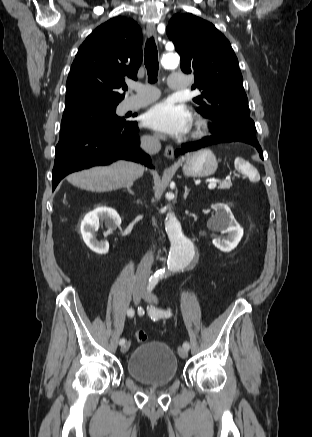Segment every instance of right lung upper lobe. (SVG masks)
Here are the masks:
<instances>
[{
	"label": "right lung upper lobe",
	"mask_w": 312,
	"mask_h": 437,
	"mask_svg": "<svg viewBox=\"0 0 312 437\" xmlns=\"http://www.w3.org/2000/svg\"><path fill=\"white\" fill-rule=\"evenodd\" d=\"M142 56V32L132 19L118 16L97 27L79 47L72 63L66 108L117 105L124 94L116 90L127 78L137 80Z\"/></svg>",
	"instance_id": "obj_1"
}]
</instances>
